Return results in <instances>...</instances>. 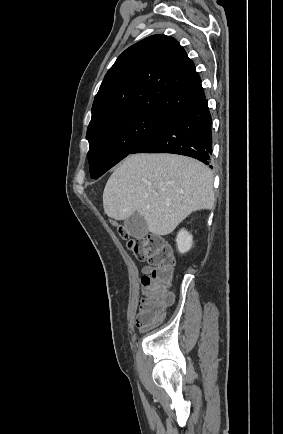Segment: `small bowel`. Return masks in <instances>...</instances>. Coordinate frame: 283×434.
<instances>
[{
    "label": "small bowel",
    "instance_id": "c3829d8e",
    "mask_svg": "<svg viewBox=\"0 0 283 434\" xmlns=\"http://www.w3.org/2000/svg\"><path fill=\"white\" fill-rule=\"evenodd\" d=\"M149 271H150V267H144V268H143V272H144L145 274H148Z\"/></svg>",
    "mask_w": 283,
    "mask_h": 434
}]
</instances>
